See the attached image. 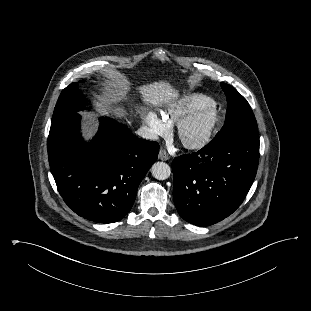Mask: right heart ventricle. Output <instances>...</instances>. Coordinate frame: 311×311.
<instances>
[{
	"label": "right heart ventricle",
	"mask_w": 311,
	"mask_h": 311,
	"mask_svg": "<svg viewBox=\"0 0 311 311\" xmlns=\"http://www.w3.org/2000/svg\"><path fill=\"white\" fill-rule=\"evenodd\" d=\"M212 102L210 97L203 94H187L170 103L162 113V118L169 125L178 124L189 114Z\"/></svg>",
	"instance_id": "e07e8e85"
}]
</instances>
